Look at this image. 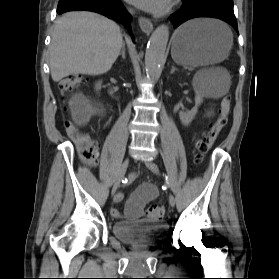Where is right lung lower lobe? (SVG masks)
Instances as JSON below:
<instances>
[{
  "instance_id": "98d812e1",
  "label": "right lung lower lobe",
  "mask_w": 279,
  "mask_h": 279,
  "mask_svg": "<svg viewBox=\"0 0 279 279\" xmlns=\"http://www.w3.org/2000/svg\"><path fill=\"white\" fill-rule=\"evenodd\" d=\"M73 10L97 12L130 27L131 16L126 13L120 0H59L58 14Z\"/></svg>"
}]
</instances>
